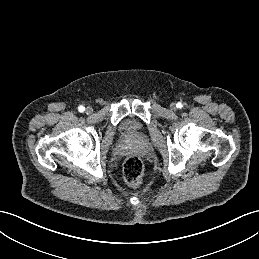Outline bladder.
I'll return each instance as SVG.
<instances>
[{"instance_id":"1","label":"bladder","mask_w":259,"mask_h":259,"mask_svg":"<svg viewBox=\"0 0 259 259\" xmlns=\"http://www.w3.org/2000/svg\"><path fill=\"white\" fill-rule=\"evenodd\" d=\"M121 130L128 139H138L143 131V126L135 119L128 118L123 121Z\"/></svg>"}]
</instances>
